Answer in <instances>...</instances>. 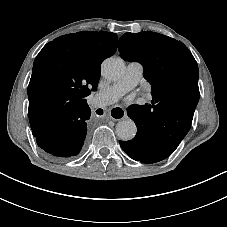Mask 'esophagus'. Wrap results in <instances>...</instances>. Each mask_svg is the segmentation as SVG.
Wrapping results in <instances>:
<instances>
[{"label": "esophagus", "instance_id": "1", "mask_svg": "<svg viewBox=\"0 0 227 227\" xmlns=\"http://www.w3.org/2000/svg\"><path fill=\"white\" fill-rule=\"evenodd\" d=\"M124 110L122 107H114L111 109V118L113 120H122L124 118Z\"/></svg>", "mask_w": 227, "mask_h": 227}]
</instances>
